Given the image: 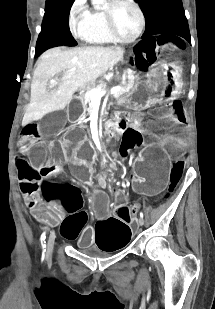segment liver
<instances>
[{"instance_id":"1","label":"liver","mask_w":215,"mask_h":309,"mask_svg":"<svg viewBox=\"0 0 215 309\" xmlns=\"http://www.w3.org/2000/svg\"><path fill=\"white\" fill-rule=\"evenodd\" d=\"M123 52L122 46H76L70 50L56 46L43 52L34 70L31 100L22 120L23 126L33 116L65 108L78 88L93 84L111 64L121 60ZM60 72L57 88L48 92V80Z\"/></svg>"}]
</instances>
